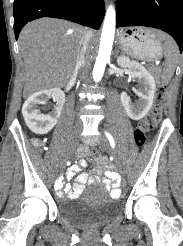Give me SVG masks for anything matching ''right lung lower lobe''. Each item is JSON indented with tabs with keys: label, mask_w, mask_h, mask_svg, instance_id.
Listing matches in <instances>:
<instances>
[{
	"label": "right lung lower lobe",
	"mask_w": 183,
	"mask_h": 246,
	"mask_svg": "<svg viewBox=\"0 0 183 246\" xmlns=\"http://www.w3.org/2000/svg\"><path fill=\"white\" fill-rule=\"evenodd\" d=\"M16 40L23 26L41 18L66 19L99 29L105 14L104 0H14Z\"/></svg>",
	"instance_id": "1"
}]
</instances>
